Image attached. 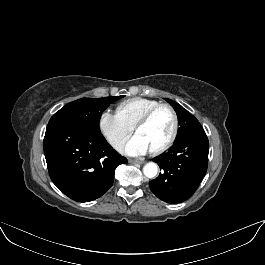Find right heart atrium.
I'll use <instances>...</instances> for the list:
<instances>
[{"label":"right heart atrium","mask_w":265,"mask_h":265,"mask_svg":"<svg viewBox=\"0 0 265 265\" xmlns=\"http://www.w3.org/2000/svg\"><path fill=\"white\" fill-rule=\"evenodd\" d=\"M99 127L109 144L116 150H121L133 130L116 113L109 110L100 115Z\"/></svg>","instance_id":"1"}]
</instances>
